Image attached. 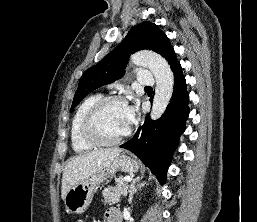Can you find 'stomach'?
I'll return each mask as SVG.
<instances>
[{"instance_id":"1","label":"stomach","mask_w":257,"mask_h":222,"mask_svg":"<svg viewBox=\"0 0 257 222\" xmlns=\"http://www.w3.org/2000/svg\"><path fill=\"white\" fill-rule=\"evenodd\" d=\"M138 162L127 155L117 156L106 168L76 183L66 193L64 203L68 212L82 214L90 205L99 185L117 171L136 172Z\"/></svg>"}]
</instances>
